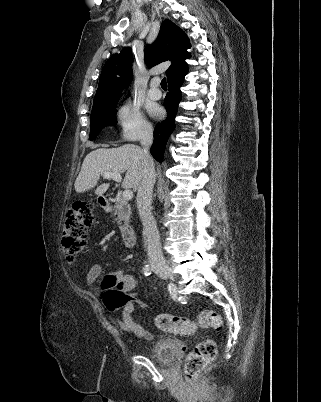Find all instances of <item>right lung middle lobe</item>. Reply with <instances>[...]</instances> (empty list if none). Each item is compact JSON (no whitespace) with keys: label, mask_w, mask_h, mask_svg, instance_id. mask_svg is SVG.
Wrapping results in <instances>:
<instances>
[{"label":"right lung middle lobe","mask_w":321,"mask_h":402,"mask_svg":"<svg viewBox=\"0 0 321 402\" xmlns=\"http://www.w3.org/2000/svg\"><path fill=\"white\" fill-rule=\"evenodd\" d=\"M118 99L104 106L94 107L91 112L90 140L97 137L99 132L106 126L114 125Z\"/></svg>","instance_id":"dd1d6c3e"}]
</instances>
